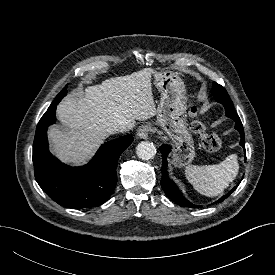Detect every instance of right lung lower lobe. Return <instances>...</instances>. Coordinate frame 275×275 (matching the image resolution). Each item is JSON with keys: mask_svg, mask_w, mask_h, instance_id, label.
<instances>
[{"mask_svg": "<svg viewBox=\"0 0 275 275\" xmlns=\"http://www.w3.org/2000/svg\"><path fill=\"white\" fill-rule=\"evenodd\" d=\"M54 100L40 119L33 144L35 178L39 186L58 204L83 209L103 204L113 193L116 167L122 152L132 143V136H122L103 144L85 166L69 167L48 150L47 128L55 122Z\"/></svg>", "mask_w": 275, "mask_h": 275, "instance_id": "1", "label": "right lung lower lobe"}]
</instances>
